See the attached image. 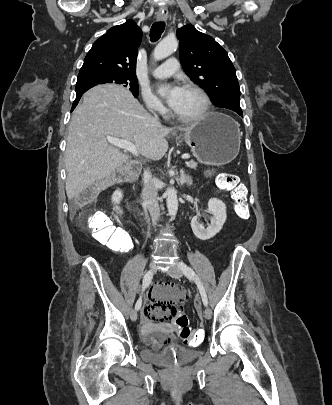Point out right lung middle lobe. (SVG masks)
Instances as JSON below:
<instances>
[{
	"label": "right lung middle lobe",
	"instance_id": "right-lung-middle-lobe-1",
	"mask_svg": "<svg viewBox=\"0 0 332 405\" xmlns=\"http://www.w3.org/2000/svg\"><path fill=\"white\" fill-rule=\"evenodd\" d=\"M113 83L127 87L137 97L139 92L136 76L115 73L110 71L96 70L79 73L76 83V93L87 91L98 84Z\"/></svg>",
	"mask_w": 332,
	"mask_h": 405
}]
</instances>
